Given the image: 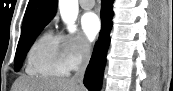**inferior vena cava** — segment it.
Wrapping results in <instances>:
<instances>
[{"mask_svg": "<svg viewBox=\"0 0 173 91\" xmlns=\"http://www.w3.org/2000/svg\"><path fill=\"white\" fill-rule=\"evenodd\" d=\"M81 55L82 61L76 69L75 75L72 77L71 80L79 84V86L83 87V78L90 59V46L87 42L84 43L81 48Z\"/></svg>", "mask_w": 173, "mask_h": 91, "instance_id": "602c4592", "label": "inferior vena cava"}]
</instances>
